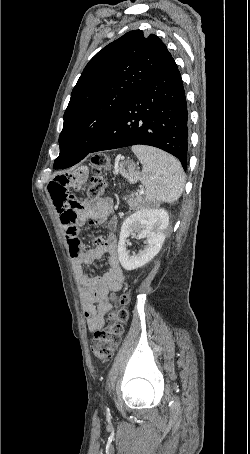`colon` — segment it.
Segmentation results:
<instances>
[{
  "label": "colon",
  "instance_id": "colon-1",
  "mask_svg": "<svg viewBox=\"0 0 250 454\" xmlns=\"http://www.w3.org/2000/svg\"><path fill=\"white\" fill-rule=\"evenodd\" d=\"M92 163L97 173L90 180L87 194L90 199H99L107 190V182L101 171L108 167L109 157L105 154H96L92 157ZM111 299L115 308L109 315V324L95 331L91 344L92 353L98 362H107L112 357L121 342L123 327L128 319L127 290L119 294L113 293Z\"/></svg>",
  "mask_w": 250,
  "mask_h": 454
}]
</instances>
